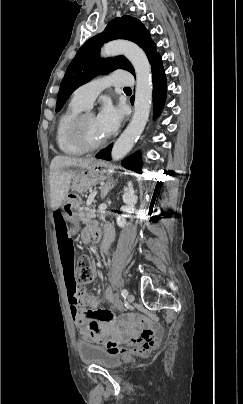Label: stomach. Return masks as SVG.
<instances>
[{
    "instance_id": "obj_1",
    "label": "stomach",
    "mask_w": 243,
    "mask_h": 404,
    "mask_svg": "<svg viewBox=\"0 0 243 404\" xmlns=\"http://www.w3.org/2000/svg\"><path fill=\"white\" fill-rule=\"evenodd\" d=\"M111 173L112 167L107 162L103 160H94L86 168L75 171L72 181V188L77 192H84L87 188L107 179ZM78 207L79 202L70 197H66L62 205L67 218L76 224V227L72 229V232H75L77 229V224L79 221L76 213Z\"/></svg>"
}]
</instances>
